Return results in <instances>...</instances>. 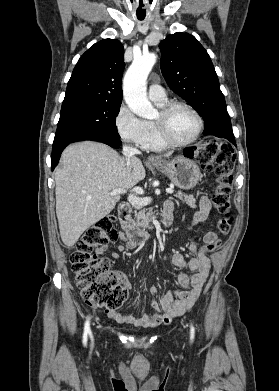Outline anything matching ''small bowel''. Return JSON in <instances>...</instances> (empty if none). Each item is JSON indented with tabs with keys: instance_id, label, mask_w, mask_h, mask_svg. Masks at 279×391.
<instances>
[{
	"instance_id": "small-bowel-1",
	"label": "small bowel",
	"mask_w": 279,
	"mask_h": 391,
	"mask_svg": "<svg viewBox=\"0 0 279 391\" xmlns=\"http://www.w3.org/2000/svg\"><path fill=\"white\" fill-rule=\"evenodd\" d=\"M165 205H172L171 202L165 203ZM211 210V202L208 197L203 196L200 199L199 210L194 214L192 222L197 224L204 221ZM120 240L124 244L118 245L115 250L110 251L107 245L98 248L97 252L100 254L110 253L115 259H120L126 249L135 247L132 245L125 234H120ZM217 239L215 232H207L204 236V245L197 246L196 244L190 245V252L194 255L190 260H186L185 256L181 253L173 255L172 262L178 268L188 267L192 272L191 276L185 273H179L178 283L179 288L168 290L162 297H159L157 288L152 285L150 287V294L152 296L151 306L156 309V312L146 313L140 317H137L133 313H122L116 311H106L107 316L115 322L121 324H131L136 327L149 328L160 324H168L176 317L182 315L189 310L200 297L203 287L210 272V261L207 257L206 246L210 242ZM125 290L131 288V284L122 273L118 274Z\"/></svg>"
}]
</instances>
